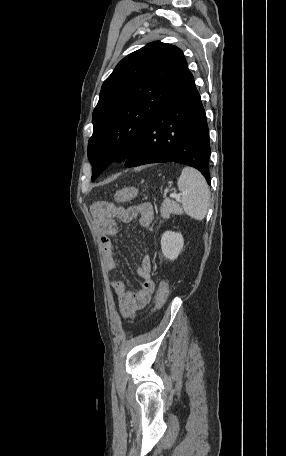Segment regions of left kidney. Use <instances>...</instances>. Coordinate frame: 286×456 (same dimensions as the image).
<instances>
[{"mask_svg": "<svg viewBox=\"0 0 286 456\" xmlns=\"http://www.w3.org/2000/svg\"><path fill=\"white\" fill-rule=\"evenodd\" d=\"M184 245L183 236L180 233L166 231L161 237V249L164 257L175 260Z\"/></svg>", "mask_w": 286, "mask_h": 456, "instance_id": "1", "label": "left kidney"}]
</instances>
